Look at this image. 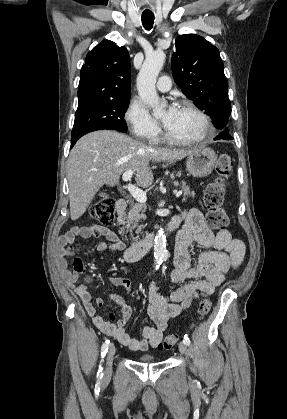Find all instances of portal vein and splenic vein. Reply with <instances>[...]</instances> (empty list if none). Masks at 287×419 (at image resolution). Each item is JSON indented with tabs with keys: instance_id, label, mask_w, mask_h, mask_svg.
Listing matches in <instances>:
<instances>
[{
	"instance_id": "portal-vein-and-splenic-vein-1",
	"label": "portal vein and splenic vein",
	"mask_w": 287,
	"mask_h": 419,
	"mask_svg": "<svg viewBox=\"0 0 287 419\" xmlns=\"http://www.w3.org/2000/svg\"><path fill=\"white\" fill-rule=\"evenodd\" d=\"M133 174H134V171L133 170H127V171H125L123 173V175H122L123 181L124 182L130 181V179L132 178ZM127 189H128L129 193L133 196V198L136 201H138L139 203H142V204L146 203L147 196H146V193L143 190H141L140 188H138V187H136V186H134L132 184H128L127 185ZM181 195H182V190L175 192V196L176 197H179Z\"/></svg>"
}]
</instances>
